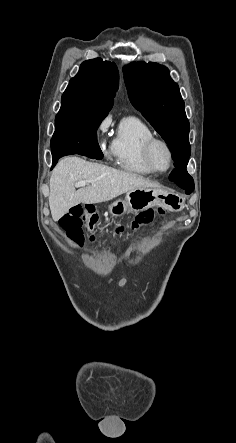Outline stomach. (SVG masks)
I'll return each instance as SVG.
<instances>
[{
	"label": "stomach",
	"mask_w": 236,
	"mask_h": 443,
	"mask_svg": "<svg viewBox=\"0 0 236 443\" xmlns=\"http://www.w3.org/2000/svg\"><path fill=\"white\" fill-rule=\"evenodd\" d=\"M183 205L182 199L176 194L160 187H151L127 192L124 199L116 200L109 206V212L114 217H120L128 212H140L154 206L179 211Z\"/></svg>",
	"instance_id": "obj_1"
}]
</instances>
